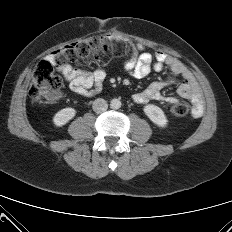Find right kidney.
<instances>
[{
  "mask_svg": "<svg viewBox=\"0 0 232 232\" xmlns=\"http://www.w3.org/2000/svg\"><path fill=\"white\" fill-rule=\"evenodd\" d=\"M76 115L74 108H64L58 111L53 117V123L57 127H61L68 123Z\"/></svg>",
  "mask_w": 232,
  "mask_h": 232,
  "instance_id": "1",
  "label": "right kidney"
}]
</instances>
